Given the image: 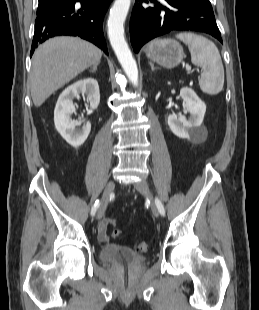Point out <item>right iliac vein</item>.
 I'll return each instance as SVG.
<instances>
[{
    "instance_id": "1",
    "label": "right iliac vein",
    "mask_w": 259,
    "mask_h": 310,
    "mask_svg": "<svg viewBox=\"0 0 259 310\" xmlns=\"http://www.w3.org/2000/svg\"><path fill=\"white\" fill-rule=\"evenodd\" d=\"M114 188H115V183L113 181H110L107 183L104 189L103 195H102V199H101L98 212H97V220H100L104 216V213L108 205L109 197L111 193L114 191Z\"/></svg>"
}]
</instances>
